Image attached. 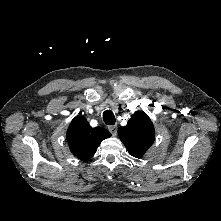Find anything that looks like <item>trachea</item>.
I'll use <instances>...</instances> for the list:
<instances>
[{"label": "trachea", "instance_id": "1", "mask_svg": "<svg viewBox=\"0 0 221 221\" xmlns=\"http://www.w3.org/2000/svg\"><path fill=\"white\" fill-rule=\"evenodd\" d=\"M103 120L107 125L115 124V116L111 110H106L103 113Z\"/></svg>", "mask_w": 221, "mask_h": 221}]
</instances>
